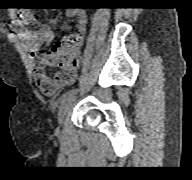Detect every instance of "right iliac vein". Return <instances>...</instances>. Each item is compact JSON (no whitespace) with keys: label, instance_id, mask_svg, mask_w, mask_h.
<instances>
[{"label":"right iliac vein","instance_id":"right-iliac-vein-1","mask_svg":"<svg viewBox=\"0 0 192 180\" xmlns=\"http://www.w3.org/2000/svg\"><path fill=\"white\" fill-rule=\"evenodd\" d=\"M73 101H74V98H71V99L65 101L64 103H62L61 106L59 107L58 117H57L59 124L62 123V121H63L66 113L70 109Z\"/></svg>","mask_w":192,"mask_h":180}]
</instances>
